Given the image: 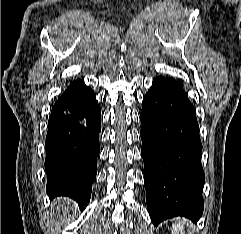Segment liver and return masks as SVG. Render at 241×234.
<instances>
[{"label": "liver", "instance_id": "liver-1", "mask_svg": "<svg viewBox=\"0 0 241 234\" xmlns=\"http://www.w3.org/2000/svg\"><path fill=\"white\" fill-rule=\"evenodd\" d=\"M55 212L51 213V226L55 229L60 228V223L70 216V211L75 209V206L68 198H58L54 201Z\"/></svg>", "mask_w": 241, "mask_h": 234}]
</instances>
